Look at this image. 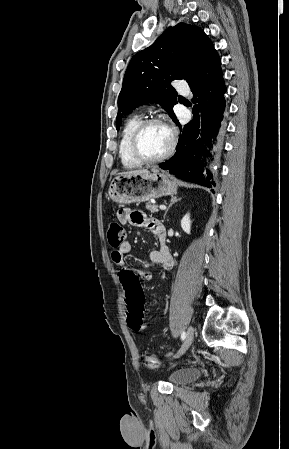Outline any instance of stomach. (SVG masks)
<instances>
[{
  "mask_svg": "<svg viewBox=\"0 0 289 449\" xmlns=\"http://www.w3.org/2000/svg\"><path fill=\"white\" fill-rule=\"evenodd\" d=\"M177 193L171 178L157 170L139 175H118L110 183L108 195L119 204L145 202Z\"/></svg>",
  "mask_w": 289,
  "mask_h": 449,
  "instance_id": "0dacf381",
  "label": "stomach"
}]
</instances>
